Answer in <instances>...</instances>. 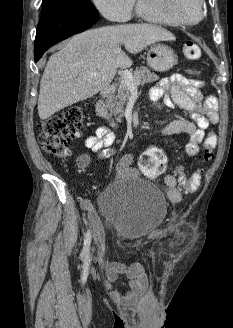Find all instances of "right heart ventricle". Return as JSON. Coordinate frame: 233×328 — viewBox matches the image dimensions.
<instances>
[{"mask_svg": "<svg viewBox=\"0 0 233 328\" xmlns=\"http://www.w3.org/2000/svg\"><path fill=\"white\" fill-rule=\"evenodd\" d=\"M135 8H136V13L139 17L147 20V21H151V22H156V23H161V24H167V25H173L167 21H164V20H161V19H158L156 17H154L153 15H151L150 13H148L143 5H142V2L141 0H136V3H135Z\"/></svg>", "mask_w": 233, "mask_h": 328, "instance_id": "1", "label": "right heart ventricle"}]
</instances>
